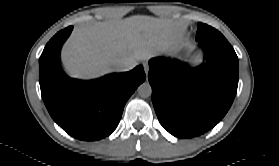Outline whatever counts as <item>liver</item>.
<instances>
[{
	"label": "liver",
	"mask_w": 279,
	"mask_h": 166,
	"mask_svg": "<svg viewBox=\"0 0 279 166\" xmlns=\"http://www.w3.org/2000/svg\"><path fill=\"white\" fill-rule=\"evenodd\" d=\"M170 27L167 22L149 17H133L78 29L65 46L64 64L73 77L102 76L116 63L150 57L167 48L171 44Z\"/></svg>",
	"instance_id": "6515ba94"
}]
</instances>
